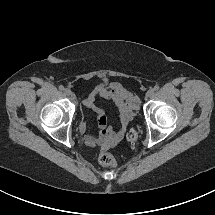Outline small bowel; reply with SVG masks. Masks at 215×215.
Listing matches in <instances>:
<instances>
[{
	"mask_svg": "<svg viewBox=\"0 0 215 215\" xmlns=\"http://www.w3.org/2000/svg\"><path fill=\"white\" fill-rule=\"evenodd\" d=\"M100 97L112 102L120 113V126L115 131L107 130V116L103 109L96 104ZM138 96L131 93L123 85L117 82L101 83L84 100V105L97 116L99 131L96 135L87 134V121L79 125V133L83 135L84 142L90 147L107 148L115 145L124 135L127 125L139 108Z\"/></svg>",
	"mask_w": 215,
	"mask_h": 215,
	"instance_id": "small-bowel-1",
	"label": "small bowel"
}]
</instances>
